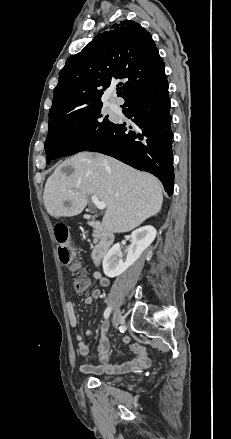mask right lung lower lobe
Here are the masks:
<instances>
[{
    "label": "right lung lower lobe",
    "instance_id": "obj_1",
    "mask_svg": "<svg viewBox=\"0 0 231 439\" xmlns=\"http://www.w3.org/2000/svg\"><path fill=\"white\" fill-rule=\"evenodd\" d=\"M121 107L132 125L114 124L87 150L112 156L152 173L171 196L174 188L173 134L167 78L136 91Z\"/></svg>",
    "mask_w": 231,
    "mask_h": 439
}]
</instances>
